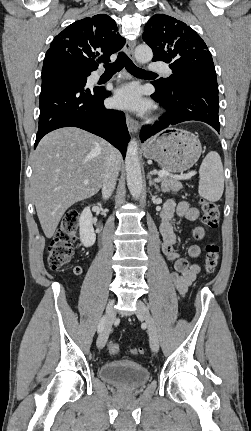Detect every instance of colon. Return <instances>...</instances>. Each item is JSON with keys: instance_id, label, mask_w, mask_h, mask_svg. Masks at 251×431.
I'll use <instances>...</instances> for the list:
<instances>
[{"instance_id": "5ec220e1", "label": "colon", "mask_w": 251, "mask_h": 431, "mask_svg": "<svg viewBox=\"0 0 251 431\" xmlns=\"http://www.w3.org/2000/svg\"><path fill=\"white\" fill-rule=\"evenodd\" d=\"M202 210V221L209 230H215L219 224L220 212L218 205L210 200L200 199ZM79 212L71 209L63 216L61 223L48 247V265L50 269L57 270L67 264L74 254V242L77 238ZM205 271L208 275L215 272L219 257L220 248L216 242H209L205 247ZM79 267H75L74 272L78 274ZM106 349L109 354L115 355L119 352V344L108 341ZM133 354H142L141 348L132 350Z\"/></svg>"}]
</instances>
